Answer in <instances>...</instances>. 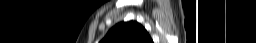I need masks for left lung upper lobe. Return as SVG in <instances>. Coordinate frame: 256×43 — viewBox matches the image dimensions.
<instances>
[{"label": "left lung upper lobe", "instance_id": "5c2ea615", "mask_svg": "<svg viewBox=\"0 0 256 43\" xmlns=\"http://www.w3.org/2000/svg\"><path fill=\"white\" fill-rule=\"evenodd\" d=\"M101 43H153V41L143 26L130 21L115 25Z\"/></svg>", "mask_w": 256, "mask_h": 43}]
</instances>
